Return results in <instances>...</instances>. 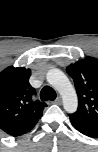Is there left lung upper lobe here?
I'll use <instances>...</instances> for the list:
<instances>
[{
  "label": "left lung upper lobe",
  "instance_id": "1",
  "mask_svg": "<svg viewBox=\"0 0 98 152\" xmlns=\"http://www.w3.org/2000/svg\"><path fill=\"white\" fill-rule=\"evenodd\" d=\"M75 83L78 95V109L69 114L76 123L98 127V59L85 58L66 69Z\"/></svg>",
  "mask_w": 98,
  "mask_h": 152
}]
</instances>
